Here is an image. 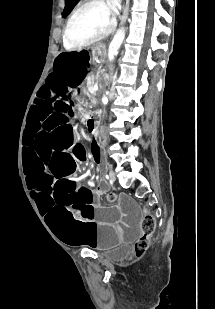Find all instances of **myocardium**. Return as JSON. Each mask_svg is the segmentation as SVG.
Returning a JSON list of instances; mask_svg holds the SVG:
<instances>
[{
	"instance_id": "1",
	"label": "myocardium",
	"mask_w": 215,
	"mask_h": 309,
	"mask_svg": "<svg viewBox=\"0 0 215 309\" xmlns=\"http://www.w3.org/2000/svg\"><path fill=\"white\" fill-rule=\"evenodd\" d=\"M91 7H100L105 9L106 6L104 4H87L84 6H81L79 8H77L76 10H74L72 12V14L70 15V17L68 18L64 29H63V43H65L66 46H68L70 48H89L91 47L94 43H98L99 42V38H107L108 34H113L114 30H115V24L116 21L114 19H109L108 23H105L104 27H95L93 29V31H91V37L90 39H85L84 41L86 43L83 42H77L78 40L76 38H72L70 37V35H68L69 29L71 28L72 30H75L77 28V25L75 23H73L74 19L77 17V15L79 13H81L82 11L89 9ZM78 18V17H77Z\"/></svg>"
}]
</instances>
